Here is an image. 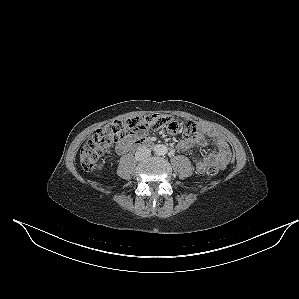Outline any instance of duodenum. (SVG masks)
<instances>
[{
  "mask_svg": "<svg viewBox=\"0 0 299 299\" xmlns=\"http://www.w3.org/2000/svg\"><path fill=\"white\" fill-rule=\"evenodd\" d=\"M153 143L151 140L149 139H137L133 142V146L134 147H147V146H151Z\"/></svg>",
  "mask_w": 299,
  "mask_h": 299,
  "instance_id": "1",
  "label": "duodenum"
}]
</instances>
